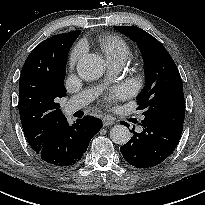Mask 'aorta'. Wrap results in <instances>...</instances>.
Returning a JSON list of instances; mask_svg holds the SVG:
<instances>
[{
	"label": "aorta",
	"mask_w": 205,
	"mask_h": 205,
	"mask_svg": "<svg viewBox=\"0 0 205 205\" xmlns=\"http://www.w3.org/2000/svg\"><path fill=\"white\" fill-rule=\"evenodd\" d=\"M105 69L103 58L97 54L83 55L77 62V73L80 78L92 81L100 78ZM130 131L124 125H115L110 130V138L115 144L123 145L130 140Z\"/></svg>",
	"instance_id": "aorta-1"
}]
</instances>
